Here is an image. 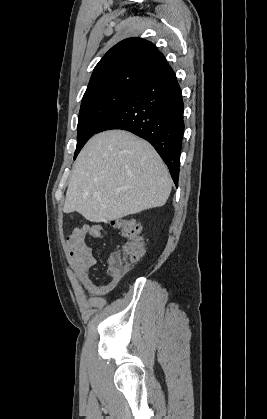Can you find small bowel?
<instances>
[{
    "instance_id": "c3829d8e",
    "label": "small bowel",
    "mask_w": 267,
    "mask_h": 419,
    "mask_svg": "<svg viewBox=\"0 0 267 419\" xmlns=\"http://www.w3.org/2000/svg\"><path fill=\"white\" fill-rule=\"evenodd\" d=\"M103 235V226L94 223L74 229L66 238L68 260L74 278L87 289L92 298H104L120 280L119 277L112 276L108 283L97 285L90 278V269L96 264V259L87 239L102 238Z\"/></svg>"
}]
</instances>
